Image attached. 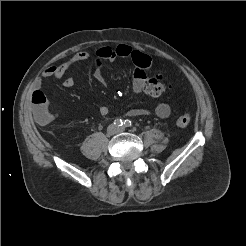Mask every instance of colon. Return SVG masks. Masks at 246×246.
I'll list each match as a JSON object with an SVG mask.
<instances>
[{
  "label": "colon",
  "instance_id": "obj_1",
  "mask_svg": "<svg viewBox=\"0 0 246 246\" xmlns=\"http://www.w3.org/2000/svg\"><path fill=\"white\" fill-rule=\"evenodd\" d=\"M131 59L136 67L141 72L148 70L151 66V57L141 51L134 50L131 54ZM143 92L149 96L158 97L166 93L167 87L162 82L161 77L146 78L142 88ZM31 102L35 117L39 121H44L47 116V108L45 98L38 92L32 94ZM191 120L189 113L185 112L179 115L176 119V125L179 128L186 127Z\"/></svg>",
  "mask_w": 246,
  "mask_h": 246
}]
</instances>
